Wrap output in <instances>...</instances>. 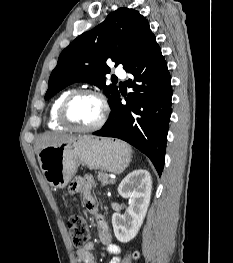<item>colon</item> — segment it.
<instances>
[{
    "instance_id": "1",
    "label": "colon",
    "mask_w": 233,
    "mask_h": 263,
    "mask_svg": "<svg viewBox=\"0 0 233 263\" xmlns=\"http://www.w3.org/2000/svg\"><path fill=\"white\" fill-rule=\"evenodd\" d=\"M68 229L72 243L76 249H82L88 242V226L86 221L79 215H72L68 219ZM138 258V254H134Z\"/></svg>"
}]
</instances>
